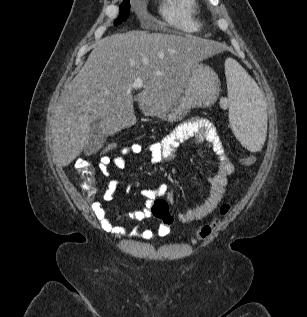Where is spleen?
<instances>
[{"mask_svg":"<svg viewBox=\"0 0 307 317\" xmlns=\"http://www.w3.org/2000/svg\"><path fill=\"white\" fill-rule=\"evenodd\" d=\"M229 121L234 135L251 152L261 150L267 129L263 94L255 81L234 59L225 61Z\"/></svg>","mask_w":307,"mask_h":317,"instance_id":"spleen-1","label":"spleen"}]
</instances>
